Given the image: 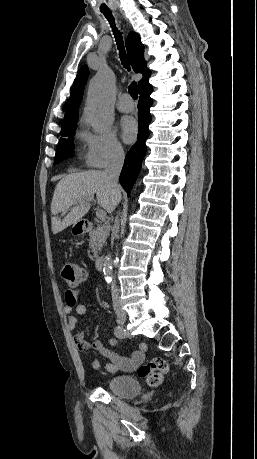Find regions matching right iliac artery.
Returning a JSON list of instances; mask_svg holds the SVG:
<instances>
[{"label": "right iliac artery", "instance_id": "82829eb1", "mask_svg": "<svg viewBox=\"0 0 257 459\" xmlns=\"http://www.w3.org/2000/svg\"><path fill=\"white\" fill-rule=\"evenodd\" d=\"M114 334L117 338L123 339L126 337V331L123 327L121 326H116L114 329Z\"/></svg>", "mask_w": 257, "mask_h": 459}]
</instances>
